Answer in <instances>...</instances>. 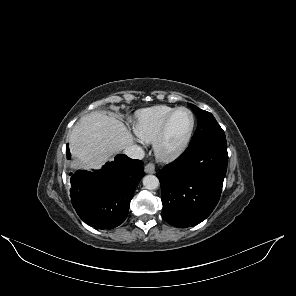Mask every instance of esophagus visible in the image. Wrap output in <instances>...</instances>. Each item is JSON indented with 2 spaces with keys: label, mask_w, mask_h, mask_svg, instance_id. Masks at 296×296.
I'll return each instance as SVG.
<instances>
[{
  "label": "esophagus",
  "mask_w": 296,
  "mask_h": 296,
  "mask_svg": "<svg viewBox=\"0 0 296 296\" xmlns=\"http://www.w3.org/2000/svg\"><path fill=\"white\" fill-rule=\"evenodd\" d=\"M145 172L148 174H154L155 173V165L153 163H148L145 166Z\"/></svg>",
  "instance_id": "34e87169"
}]
</instances>
